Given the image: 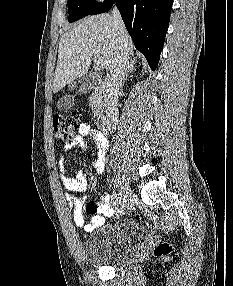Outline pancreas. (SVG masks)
I'll return each mask as SVG.
<instances>
[{"label": "pancreas", "instance_id": "cf45deb5", "mask_svg": "<svg viewBox=\"0 0 233 286\" xmlns=\"http://www.w3.org/2000/svg\"><path fill=\"white\" fill-rule=\"evenodd\" d=\"M90 106L92 110L96 113V111L98 110L99 104L96 102V99L94 97L90 98Z\"/></svg>", "mask_w": 233, "mask_h": 286}]
</instances>
